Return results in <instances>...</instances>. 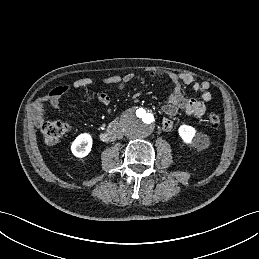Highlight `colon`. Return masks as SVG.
Returning <instances> with one entry per match:
<instances>
[{
    "label": "colon",
    "instance_id": "5ec220e1",
    "mask_svg": "<svg viewBox=\"0 0 259 259\" xmlns=\"http://www.w3.org/2000/svg\"><path fill=\"white\" fill-rule=\"evenodd\" d=\"M208 123L212 128H217L220 125V117L216 113L208 114ZM69 127L64 121H49L46 122L42 128V135L44 141L48 145H54L60 141V139L67 133Z\"/></svg>",
    "mask_w": 259,
    "mask_h": 259
}]
</instances>
